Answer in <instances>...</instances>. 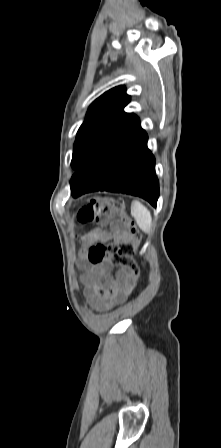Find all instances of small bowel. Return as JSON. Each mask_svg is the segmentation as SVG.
Instances as JSON below:
<instances>
[{
    "instance_id": "1",
    "label": "small bowel",
    "mask_w": 221,
    "mask_h": 448,
    "mask_svg": "<svg viewBox=\"0 0 221 448\" xmlns=\"http://www.w3.org/2000/svg\"><path fill=\"white\" fill-rule=\"evenodd\" d=\"M98 241L123 242L128 239L127 234L116 224H110L109 232L98 234ZM85 242V247L89 245ZM85 251L82 256L84 257ZM84 273L82 282L92 308L97 311L109 310L123 303L131 294L136 282L133 276L123 267L115 266L110 262L100 264H83Z\"/></svg>"
}]
</instances>
